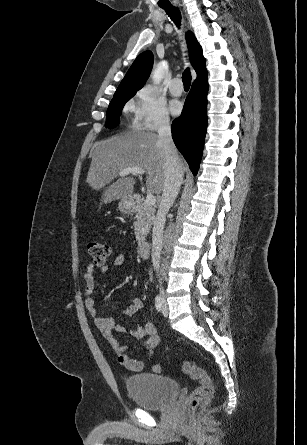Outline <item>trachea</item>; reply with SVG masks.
Masks as SVG:
<instances>
[{"label":"trachea","instance_id":"3493384b","mask_svg":"<svg viewBox=\"0 0 307 445\" xmlns=\"http://www.w3.org/2000/svg\"><path fill=\"white\" fill-rule=\"evenodd\" d=\"M167 15L175 22L176 25H180V12L176 7H167L164 8ZM182 82L185 89H189L191 85V73L189 69L185 70L182 75Z\"/></svg>","mask_w":307,"mask_h":445}]
</instances>
